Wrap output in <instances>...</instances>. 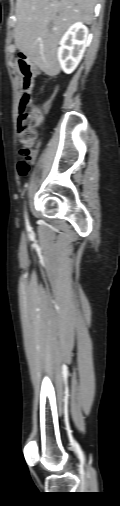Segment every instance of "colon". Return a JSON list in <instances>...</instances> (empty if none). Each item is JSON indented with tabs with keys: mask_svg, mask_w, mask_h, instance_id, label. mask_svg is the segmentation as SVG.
<instances>
[{
	"mask_svg": "<svg viewBox=\"0 0 120 506\" xmlns=\"http://www.w3.org/2000/svg\"><path fill=\"white\" fill-rule=\"evenodd\" d=\"M15 55L19 60L24 90L19 104L18 135L21 147L19 149L20 158L17 169L20 176H26L30 171L34 147L37 143L38 134L36 128L40 122V113L34 109L29 94L36 69L28 62V54L25 50H17Z\"/></svg>",
	"mask_w": 120,
	"mask_h": 506,
	"instance_id": "5ec220e1",
	"label": "colon"
}]
</instances>
